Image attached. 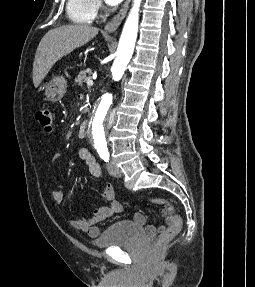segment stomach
Masks as SVG:
<instances>
[{
	"mask_svg": "<svg viewBox=\"0 0 255 287\" xmlns=\"http://www.w3.org/2000/svg\"><path fill=\"white\" fill-rule=\"evenodd\" d=\"M67 88L65 78H53L46 86L45 96L48 102H59L63 98Z\"/></svg>",
	"mask_w": 255,
	"mask_h": 287,
	"instance_id": "stomach-1",
	"label": "stomach"
}]
</instances>
